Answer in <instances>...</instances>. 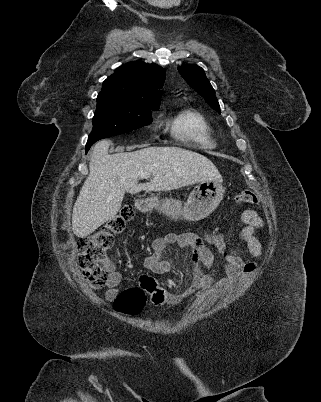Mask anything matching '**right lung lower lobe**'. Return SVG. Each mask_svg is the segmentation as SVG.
Segmentation results:
<instances>
[{"instance_id": "98d812e1", "label": "right lung lower lobe", "mask_w": 321, "mask_h": 402, "mask_svg": "<svg viewBox=\"0 0 321 402\" xmlns=\"http://www.w3.org/2000/svg\"><path fill=\"white\" fill-rule=\"evenodd\" d=\"M91 145H92L91 143H88V142H87V144H86V152L89 150V148L91 147Z\"/></svg>"}]
</instances>
